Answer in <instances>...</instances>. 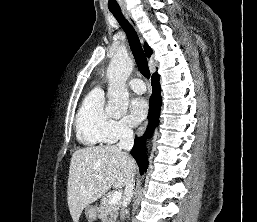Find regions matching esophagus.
I'll use <instances>...</instances> for the list:
<instances>
[{
    "label": "esophagus",
    "mask_w": 257,
    "mask_h": 222,
    "mask_svg": "<svg viewBox=\"0 0 257 222\" xmlns=\"http://www.w3.org/2000/svg\"><path fill=\"white\" fill-rule=\"evenodd\" d=\"M123 14H124V16L126 17V19L132 24V26H133L136 30H138L137 25H136V22H135V20L133 19V17L131 16V14H130L129 12H127V11H124ZM146 127H147V122H145V123L138 129L137 136H141V135L144 133Z\"/></svg>",
    "instance_id": "esophagus-1"
}]
</instances>
